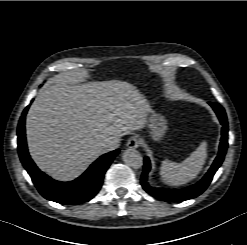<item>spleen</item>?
I'll list each match as a JSON object with an SVG mask.
<instances>
[{"instance_id": "spleen-1", "label": "spleen", "mask_w": 247, "mask_h": 245, "mask_svg": "<svg viewBox=\"0 0 247 245\" xmlns=\"http://www.w3.org/2000/svg\"><path fill=\"white\" fill-rule=\"evenodd\" d=\"M207 158V143L202 142L198 148L181 163L162 161L160 176L164 183L170 186L187 184L197 177Z\"/></svg>"}]
</instances>
